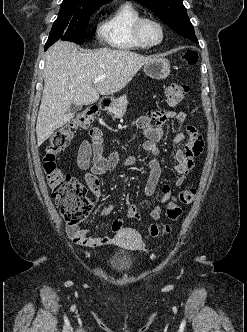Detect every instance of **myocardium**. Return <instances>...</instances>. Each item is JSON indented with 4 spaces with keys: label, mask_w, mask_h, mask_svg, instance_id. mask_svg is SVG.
<instances>
[{
    "label": "myocardium",
    "mask_w": 247,
    "mask_h": 332,
    "mask_svg": "<svg viewBox=\"0 0 247 332\" xmlns=\"http://www.w3.org/2000/svg\"><path fill=\"white\" fill-rule=\"evenodd\" d=\"M147 21H151L153 22L154 24L157 25V27L159 28V31H160V39L155 42V43H147L143 36H142V33H141V29H142V25L147 22ZM133 34H134V37L135 39L145 48H152V47H155L159 44L162 43V41L164 40V36H165V31H164V27L163 25L161 24L160 21H158L156 18L154 17H149V16H142L140 17L134 24L133 26Z\"/></svg>",
    "instance_id": "obj_1"
}]
</instances>
